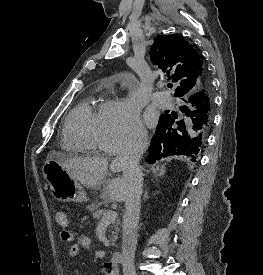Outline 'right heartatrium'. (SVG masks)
<instances>
[{
  "instance_id": "right-heart-atrium-1",
  "label": "right heart atrium",
  "mask_w": 263,
  "mask_h": 275,
  "mask_svg": "<svg viewBox=\"0 0 263 275\" xmlns=\"http://www.w3.org/2000/svg\"><path fill=\"white\" fill-rule=\"evenodd\" d=\"M146 138V131L131 101L113 98L104 103L101 148L105 152H122L144 143Z\"/></svg>"
}]
</instances>
